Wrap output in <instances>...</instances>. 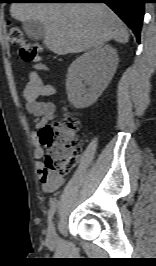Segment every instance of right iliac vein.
Here are the masks:
<instances>
[{"label":"right iliac vein","instance_id":"obj_1","mask_svg":"<svg viewBox=\"0 0 156 266\" xmlns=\"http://www.w3.org/2000/svg\"><path fill=\"white\" fill-rule=\"evenodd\" d=\"M47 240L49 243H54L57 240V234L54 223L51 222L47 232Z\"/></svg>","mask_w":156,"mask_h":266}]
</instances>
